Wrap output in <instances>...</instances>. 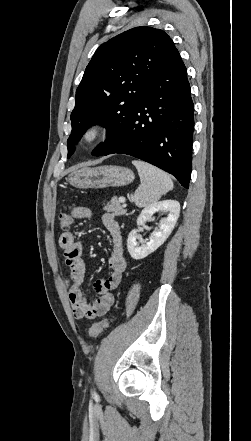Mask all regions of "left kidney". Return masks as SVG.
Returning <instances> with one entry per match:
<instances>
[{"label":"left kidney","instance_id":"left-kidney-1","mask_svg":"<svg viewBox=\"0 0 251 441\" xmlns=\"http://www.w3.org/2000/svg\"><path fill=\"white\" fill-rule=\"evenodd\" d=\"M168 213V216L161 218L158 223V228L150 235L149 241L142 243L141 246L137 242L139 235L137 230H132L127 239V248L133 259H143L149 254L157 250L170 236L173 231L180 213V204L175 200H164L155 202L146 206L137 218V225H143L147 220H150L156 212ZM142 242V241H140Z\"/></svg>","mask_w":251,"mask_h":441}]
</instances>
